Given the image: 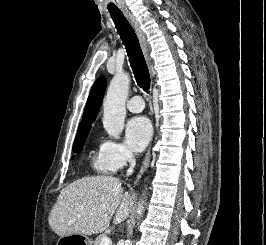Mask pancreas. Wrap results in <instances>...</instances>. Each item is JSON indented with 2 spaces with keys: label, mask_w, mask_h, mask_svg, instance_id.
Returning a JSON list of instances; mask_svg holds the SVG:
<instances>
[{
  "label": "pancreas",
  "mask_w": 266,
  "mask_h": 245,
  "mask_svg": "<svg viewBox=\"0 0 266 245\" xmlns=\"http://www.w3.org/2000/svg\"><path fill=\"white\" fill-rule=\"evenodd\" d=\"M103 237H106V233H103V235H99V237H97L96 241H94V245H100L101 239H103Z\"/></svg>",
  "instance_id": "cf45deb5"
}]
</instances>
